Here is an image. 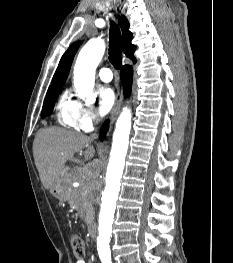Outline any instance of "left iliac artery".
<instances>
[{"mask_svg":"<svg viewBox=\"0 0 233 263\" xmlns=\"http://www.w3.org/2000/svg\"><path fill=\"white\" fill-rule=\"evenodd\" d=\"M102 263H112V262L109 260V261H103Z\"/></svg>","mask_w":233,"mask_h":263,"instance_id":"obj_1","label":"left iliac artery"}]
</instances>
